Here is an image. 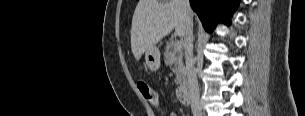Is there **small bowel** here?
Masks as SVG:
<instances>
[{"instance_id":"1","label":"small bowel","mask_w":305,"mask_h":116,"mask_svg":"<svg viewBox=\"0 0 305 116\" xmlns=\"http://www.w3.org/2000/svg\"><path fill=\"white\" fill-rule=\"evenodd\" d=\"M169 116H175L174 114H169Z\"/></svg>"}]
</instances>
